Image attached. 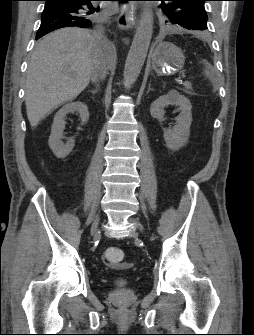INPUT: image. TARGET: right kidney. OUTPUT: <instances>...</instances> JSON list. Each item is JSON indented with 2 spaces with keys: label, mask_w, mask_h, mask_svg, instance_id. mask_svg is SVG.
<instances>
[{
  "label": "right kidney",
  "mask_w": 254,
  "mask_h": 335,
  "mask_svg": "<svg viewBox=\"0 0 254 335\" xmlns=\"http://www.w3.org/2000/svg\"><path fill=\"white\" fill-rule=\"evenodd\" d=\"M71 112H78L80 114L81 125L86 124L89 119L88 107L82 102L65 104L56 113L51 127V135L49 137L48 144L57 158H65L69 155L75 145V140L72 138L68 139L66 144L61 141L63 138V130L65 129V116Z\"/></svg>",
  "instance_id": "1"
}]
</instances>
